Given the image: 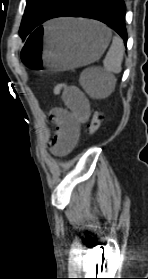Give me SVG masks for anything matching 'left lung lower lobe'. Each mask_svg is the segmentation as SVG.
<instances>
[{
  "instance_id": "obj_1",
  "label": "left lung lower lobe",
  "mask_w": 148,
  "mask_h": 279,
  "mask_svg": "<svg viewBox=\"0 0 148 279\" xmlns=\"http://www.w3.org/2000/svg\"><path fill=\"white\" fill-rule=\"evenodd\" d=\"M125 4L123 0H66L50 17H85L99 20L114 29L126 44Z\"/></svg>"
}]
</instances>
